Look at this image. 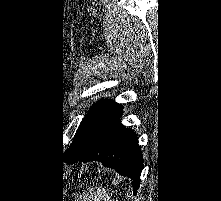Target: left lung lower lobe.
I'll use <instances>...</instances> for the list:
<instances>
[{
  "instance_id": "1",
  "label": "left lung lower lobe",
  "mask_w": 221,
  "mask_h": 201,
  "mask_svg": "<svg viewBox=\"0 0 221 201\" xmlns=\"http://www.w3.org/2000/svg\"><path fill=\"white\" fill-rule=\"evenodd\" d=\"M121 116V106L116 105L104 118L91 142L65 161L69 164L78 161H99L115 169L120 175L130 177L136 194L140 184L143 158L136 134L121 124Z\"/></svg>"
}]
</instances>
